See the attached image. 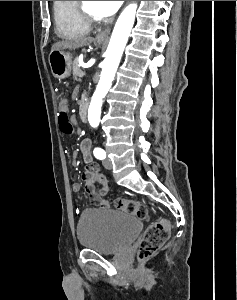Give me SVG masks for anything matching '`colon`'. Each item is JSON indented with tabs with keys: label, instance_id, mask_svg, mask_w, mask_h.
<instances>
[{
	"label": "colon",
	"instance_id": "1",
	"mask_svg": "<svg viewBox=\"0 0 237 300\" xmlns=\"http://www.w3.org/2000/svg\"><path fill=\"white\" fill-rule=\"evenodd\" d=\"M58 123L60 131L65 135H71L74 132L73 124L66 110H61L58 116ZM88 186L94 189L96 186H100V194L106 192L107 181L104 176L95 175L93 171H88L85 174ZM116 208L129 213L141 220L147 218V208L140 202L119 198L115 202ZM170 235V222L165 218H161L153 222L145 231L142 239L138 245V258L145 260L152 257L167 241Z\"/></svg>",
	"mask_w": 237,
	"mask_h": 300
}]
</instances>
